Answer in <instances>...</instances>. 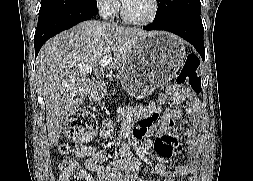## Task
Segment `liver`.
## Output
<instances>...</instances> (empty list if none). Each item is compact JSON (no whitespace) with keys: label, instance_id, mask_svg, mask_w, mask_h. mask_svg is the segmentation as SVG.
I'll return each mask as SVG.
<instances>
[{"label":"liver","instance_id":"1","mask_svg":"<svg viewBox=\"0 0 253 181\" xmlns=\"http://www.w3.org/2000/svg\"><path fill=\"white\" fill-rule=\"evenodd\" d=\"M153 33L91 20L54 36L43 45L35 65L46 106L50 146L57 144L69 116L79 110L93 90V82L81 71V66L95 67L103 57L113 53L111 67L120 69L132 47Z\"/></svg>","mask_w":253,"mask_h":181}]
</instances>
